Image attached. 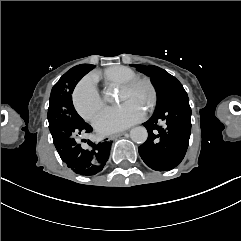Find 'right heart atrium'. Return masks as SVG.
<instances>
[{"instance_id":"d8ad5b80","label":"right heart atrium","mask_w":241,"mask_h":241,"mask_svg":"<svg viewBox=\"0 0 241 241\" xmlns=\"http://www.w3.org/2000/svg\"><path fill=\"white\" fill-rule=\"evenodd\" d=\"M100 83V76L91 73L76 87L72 94L73 106L85 120H91L103 106L101 98L96 93Z\"/></svg>"}]
</instances>
